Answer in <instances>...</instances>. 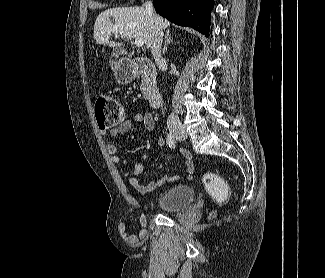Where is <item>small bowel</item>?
Masks as SVG:
<instances>
[{
	"instance_id": "obj_1",
	"label": "small bowel",
	"mask_w": 325,
	"mask_h": 278,
	"mask_svg": "<svg viewBox=\"0 0 325 278\" xmlns=\"http://www.w3.org/2000/svg\"><path fill=\"white\" fill-rule=\"evenodd\" d=\"M134 120L137 123L143 124V126L145 127V129L147 131L152 132L155 129V120L149 112L136 113L134 116ZM132 126H133L132 121L126 120L122 124H120L118 127L110 129V130H102L101 133L104 136L109 135V136L116 137V136H120V135L130 132L132 129ZM165 144H166V141L164 138H159L157 140L158 146L163 147V146H165ZM106 149H107V152L109 153V155L111 156L112 162L114 164H119L121 162V157L118 154L117 145L114 143H108L106 146ZM179 153L188 162V174L186 177L188 179H191L192 171H193V167H192V164L190 161L191 155H190L189 151L184 150V149L180 150ZM142 169H143L142 161L140 159H136L135 164H134V169H133L134 176L139 175L141 173ZM181 178H184V177H181L179 175H171V176L162 175L159 178H157L156 180L150 181L148 184L144 185L136 177H132L130 179L129 183L137 191H139L141 193H149L157 188L163 187L168 182H175Z\"/></svg>"
}]
</instances>
